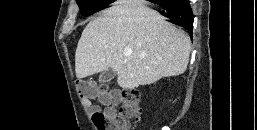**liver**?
<instances>
[{
	"label": "liver",
	"instance_id": "1",
	"mask_svg": "<svg viewBox=\"0 0 257 130\" xmlns=\"http://www.w3.org/2000/svg\"><path fill=\"white\" fill-rule=\"evenodd\" d=\"M191 40L141 1H118L84 28L75 52L81 79L113 69L123 89L183 74ZM130 53V56H126Z\"/></svg>",
	"mask_w": 257,
	"mask_h": 130
}]
</instances>
